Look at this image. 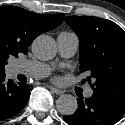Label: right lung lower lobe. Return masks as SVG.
I'll use <instances>...</instances> for the list:
<instances>
[{
	"label": "right lung lower lobe",
	"mask_w": 125,
	"mask_h": 125,
	"mask_svg": "<svg viewBox=\"0 0 125 125\" xmlns=\"http://www.w3.org/2000/svg\"><path fill=\"white\" fill-rule=\"evenodd\" d=\"M32 87L23 83L15 84L0 74V121L18 114L27 104Z\"/></svg>",
	"instance_id": "right-lung-lower-lobe-1"
}]
</instances>
